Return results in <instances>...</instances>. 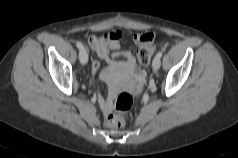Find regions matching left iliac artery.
<instances>
[{
    "label": "left iliac artery",
    "instance_id": "obj_1",
    "mask_svg": "<svg viewBox=\"0 0 238 158\" xmlns=\"http://www.w3.org/2000/svg\"><path fill=\"white\" fill-rule=\"evenodd\" d=\"M162 52L161 51H159L157 54H156V57H159V58H161L162 57Z\"/></svg>",
    "mask_w": 238,
    "mask_h": 158
}]
</instances>
